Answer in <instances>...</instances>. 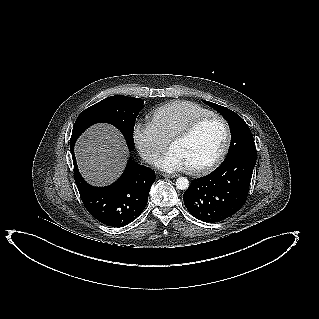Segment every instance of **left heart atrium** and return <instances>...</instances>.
I'll use <instances>...</instances> for the list:
<instances>
[{
  "label": "left heart atrium",
  "mask_w": 319,
  "mask_h": 319,
  "mask_svg": "<svg viewBox=\"0 0 319 319\" xmlns=\"http://www.w3.org/2000/svg\"><path fill=\"white\" fill-rule=\"evenodd\" d=\"M156 165L166 171H179L186 168V164L182 157L172 149L160 157L157 160Z\"/></svg>",
  "instance_id": "1"
}]
</instances>
